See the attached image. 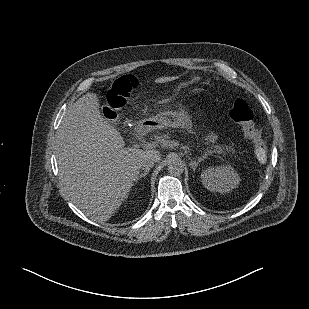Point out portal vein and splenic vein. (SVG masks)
I'll return each mask as SVG.
<instances>
[{"instance_id": "obj_1", "label": "portal vein and splenic vein", "mask_w": 309, "mask_h": 309, "mask_svg": "<svg viewBox=\"0 0 309 309\" xmlns=\"http://www.w3.org/2000/svg\"><path fill=\"white\" fill-rule=\"evenodd\" d=\"M157 146V142H146L143 144V148L152 149Z\"/></svg>"}]
</instances>
